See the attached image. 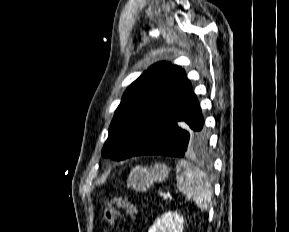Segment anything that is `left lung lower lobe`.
Listing matches in <instances>:
<instances>
[{
  "label": "left lung lower lobe",
  "mask_w": 289,
  "mask_h": 232,
  "mask_svg": "<svg viewBox=\"0 0 289 232\" xmlns=\"http://www.w3.org/2000/svg\"><path fill=\"white\" fill-rule=\"evenodd\" d=\"M207 147L208 136L203 127L200 105L195 94L191 92L170 122L130 157L140 155L184 157L204 152Z\"/></svg>",
  "instance_id": "1"
}]
</instances>
